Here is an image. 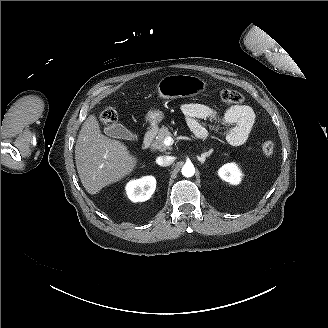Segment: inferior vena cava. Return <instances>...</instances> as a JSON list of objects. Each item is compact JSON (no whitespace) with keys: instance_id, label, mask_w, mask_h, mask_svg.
I'll return each instance as SVG.
<instances>
[{"instance_id":"1","label":"inferior vena cava","mask_w":328,"mask_h":328,"mask_svg":"<svg viewBox=\"0 0 328 328\" xmlns=\"http://www.w3.org/2000/svg\"><path fill=\"white\" fill-rule=\"evenodd\" d=\"M156 162L163 167L169 166L174 162V158L172 156H160L157 158Z\"/></svg>"}]
</instances>
